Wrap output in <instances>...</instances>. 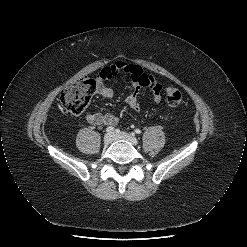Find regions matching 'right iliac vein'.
I'll use <instances>...</instances> for the list:
<instances>
[{
    "label": "right iliac vein",
    "mask_w": 247,
    "mask_h": 247,
    "mask_svg": "<svg viewBox=\"0 0 247 247\" xmlns=\"http://www.w3.org/2000/svg\"><path fill=\"white\" fill-rule=\"evenodd\" d=\"M114 140V135L112 133H107L105 134L104 138H103V142L106 145H109L113 142Z\"/></svg>",
    "instance_id": "obj_1"
}]
</instances>
